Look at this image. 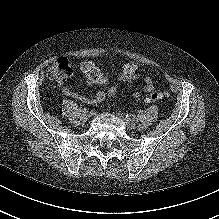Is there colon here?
<instances>
[{
	"label": "colon",
	"mask_w": 219,
	"mask_h": 219,
	"mask_svg": "<svg viewBox=\"0 0 219 219\" xmlns=\"http://www.w3.org/2000/svg\"><path fill=\"white\" fill-rule=\"evenodd\" d=\"M138 71V65L135 63H127L123 66L122 74L124 77H131L136 74ZM72 73L71 64L66 57L57 58L47 71V77L50 80L62 81L65 78L69 77ZM97 80L101 83L107 81V77L104 74L97 76ZM110 95L115 94V89L111 88L109 90ZM167 97V94L163 91H152L145 96L146 101L156 102L164 100Z\"/></svg>",
	"instance_id": "colon-1"
}]
</instances>
